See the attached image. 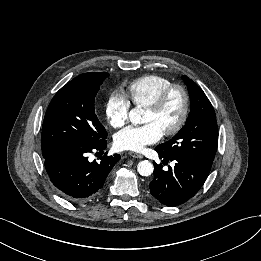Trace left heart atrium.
<instances>
[{
	"instance_id": "left-heart-atrium-1",
	"label": "left heart atrium",
	"mask_w": 261,
	"mask_h": 261,
	"mask_svg": "<svg viewBox=\"0 0 261 261\" xmlns=\"http://www.w3.org/2000/svg\"><path fill=\"white\" fill-rule=\"evenodd\" d=\"M163 132L153 123L140 126H129L118 132L114 143L119 150L139 152L146 146L158 142Z\"/></svg>"
}]
</instances>
